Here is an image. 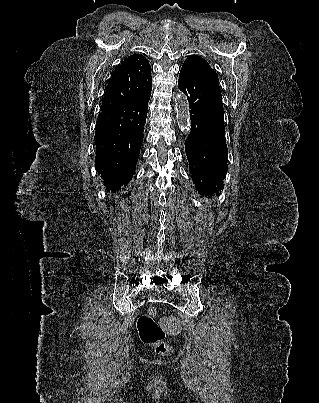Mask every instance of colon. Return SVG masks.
Here are the masks:
<instances>
[{
    "label": "colon",
    "instance_id": "colon-1",
    "mask_svg": "<svg viewBox=\"0 0 319 403\" xmlns=\"http://www.w3.org/2000/svg\"><path fill=\"white\" fill-rule=\"evenodd\" d=\"M156 315V308L150 307L138 318V334L143 343L151 345L157 354L167 357L172 355L173 349L165 342L166 331L157 323Z\"/></svg>",
    "mask_w": 319,
    "mask_h": 403
}]
</instances>
